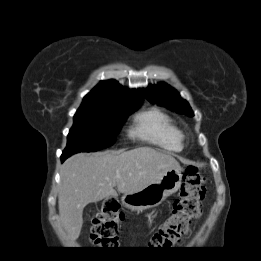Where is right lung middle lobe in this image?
<instances>
[{
	"mask_svg": "<svg viewBox=\"0 0 261 261\" xmlns=\"http://www.w3.org/2000/svg\"><path fill=\"white\" fill-rule=\"evenodd\" d=\"M142 103L120 99L83 100L74 116L64 155L91 152L113 145L125 119Z\"/></svg>",
	"mask_w": 261,
	"mask_h": 261,
	"instance_id": "dd1d6c3e",
	"label": "right lung middle lobe"
}]
</instances>
